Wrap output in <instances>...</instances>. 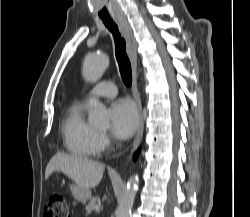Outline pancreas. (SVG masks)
Masks as SVG:
<instances>
[{
    "mask_svg": "<svg viewBox=\"0 0 250 217\" xmlns=\"http://www.w3.org/2000/svg\"><path fill=\"white\" fill-rule=\"evenodd\" d=\"M98 198L97 197H92L90 199V202L86 206V212L87 214H90L92 211L95 210V207L97 206Z\"/></svg>",
    "mask_w": 250,
    "mask_h": 217,
    "instance_id": "obj_1",
    "label": "pancreas"
}]
</instances>
